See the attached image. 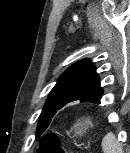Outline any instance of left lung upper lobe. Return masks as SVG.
Wrapping results in <instances>:
<instances>
[{
  "instance_id": "5c2ea615",
  "label": "left lung upper lobe",
  "mask_w": 130,
  "mask_h": 153,
  "mask_svg": "<svg viewBox=\"0 0 130 153\" xmlns=\"http://www.w3.org/2000/svg\"><path fill=\"white\" fill-rule=\"evenodd\" d=\"M102 93L99 77L92 63L88 59L76 62L60 76L50 92L40 115L36 136L47 129L52 117L67 101L81 100L98 103Z\"/></svg>"
}]
</instances>
